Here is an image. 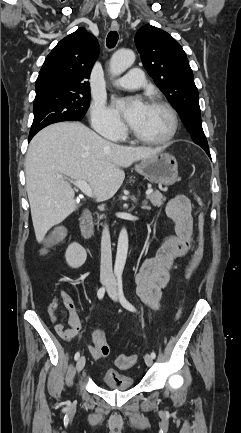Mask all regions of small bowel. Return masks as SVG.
<instances>
[{
  "instance_id": "obj_1",
  "label": "small bowel",
  "mask_w": 241,
  "mask_h": 433,
  "mask_svg": "<svg viewBox=\"0 0 241 433\" xmlns=\"http://www.w3.org/2000/svg\"><path fill=\"white\" fill-rule=\"evenodd\" d=\"M166 213L175 223L176 235L168 238L154 257L142 260L136 275L137 293L152 310L160 308L163 290L170 282V270L174 261L185 257L192 246L193 221L190 200L185 195L173 197L166 206ZM60 298L68 313L67 326L59 322L57 299H53L49 304L48 314L57 334L62 339L70 341L80 332L81 320L71 295L61 290ZM92 338L94 345H89L88 349L94 359H99L98 345L105 341V337L98 325L92 330Z\"/></svg>"
}]
</instances>
